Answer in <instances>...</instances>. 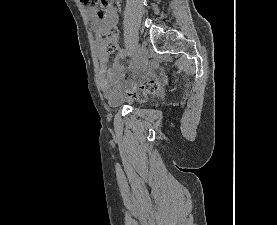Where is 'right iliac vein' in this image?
I'll return each mask as SVG.
<instances>
[{
	"mask_svg": "<svg viewBox=\"0 0 277 225\" xmlns=\"http://www.w3.org/2000/svg\"><path fill=\"white\" fill-rule=\"evenodd\" d=\"M146 62H147V49L145 46H142L138 53L137 66L144 67Z\"/></svg>",
	"mask_w": 277,
	"mask_h": 225,
	"instance_id": "1",
	"label": "right iliac vein"
}]
</instances>
